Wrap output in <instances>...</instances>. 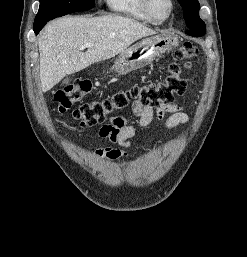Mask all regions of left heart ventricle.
Segmentation results:
<instances>
[{"label":"left heart ventricle","mask_w":247,"mask_h":257,"mask_svg":"<svg viewBox=\"0 0 247 257\" xmlns=\"http://www.w3.org/2000/svg\"><path fill=\"white\" fill-rule=\"evenodd\" d=\"M154 11L157 16L162 17L164 16L169 9V4L167 0H154Z\"/></svg>","instance_id":"left-heart-ventricle-1"}]
</instances>
